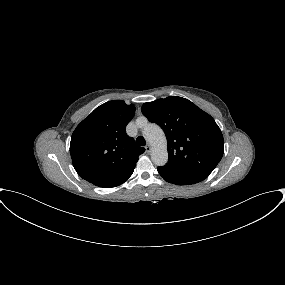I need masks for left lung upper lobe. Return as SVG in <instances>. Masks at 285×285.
<instances>
[{"mask_svg": "<svg viewBox=\"0 0 285 285\" xmlns=\"http://www.w3.org/2000/svg\"><path fill=\"white\" fill-rule=\"evenodd\" d=\"M142 113L166 135L169 159L161 169L206 178L210 175L223 156L224 140L209 114L177 96L144 103Z\"/></svg>", "mask_w": 285, "mask_h": 285, "instance_id": "obj_1", "label": "left lung upper lobe"}]
</instances>
